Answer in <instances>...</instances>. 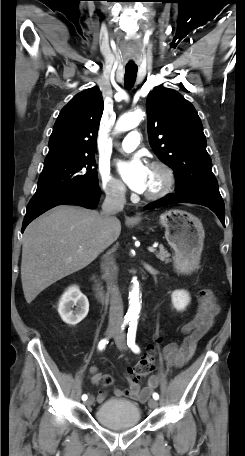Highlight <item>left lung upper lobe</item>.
I'll return each instance as SVG.
<instances>
[{
	"mask_svg": "<svg viewBox=\"0 0 245 456\" xmlns=\"http://www.w3.org/2000/svg\"><path fill=\"white\" fill-rule=\"evenodd\" d=\"M146 108L150 146L174 171L176 194L222 199L194 106L175 90L158 86L148 94Z\"/></svg>",
	"mask_w": 245,
	"mask_h": 456,
	"instance_id": "obj_1",
	"label": "left lung upper lobe"
}]
</instances>
